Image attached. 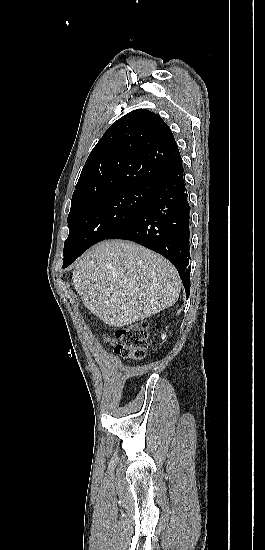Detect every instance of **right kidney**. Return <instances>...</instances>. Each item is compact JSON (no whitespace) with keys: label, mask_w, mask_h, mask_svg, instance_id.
<instances>
[{"label":"right kidney","mask_w":265,"mask_h":550,"mask_svg":"<svg viewBox=\"0 0 265 550\" xmlns=\"http://www.w3.org/2000/svg\"><path fill=\"white\" fill-rule=\"evenodd\" d=\"M166 338V334H163L162 335V339L164 340Z\"/></svg>","instance_id":"right-kidney-1"}]
</instances>
